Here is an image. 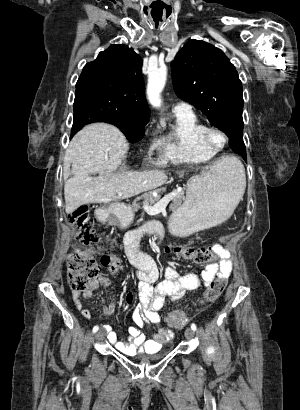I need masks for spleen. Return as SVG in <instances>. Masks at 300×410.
<instances>
[{
  "label": "spleen",
  "mask_w": 300,
  "mask_h": 410,
  "mask_svg": "<svg viewBox=\"0 0 300 410\" xmlns=\"http://www.w3.org/2000/svg\"><path fill=\"white\" fill-rule=\"evenodd\" d=\"M222 167L225 169H233L235 171V187L239 194V201L242 198L245 187H246V177H245V170L242 163L237 160L236 158H228L222 164Z\"/></svg>",
  "instance_id": "spleen-1"
}]
</instances>
